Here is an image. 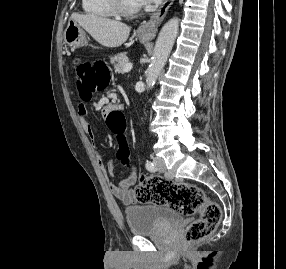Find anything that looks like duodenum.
<instances>
[{
    "mask_svg": "<svg viewBox=\"0 0 286 269\" xmlns=\"http://www.w3.org/2000/svg\"><path fill=\"white\" fill-rule=\"evenodd\" d=\"M107 108H110V110L113 108L112 106H108Z\"/></svg>",
    "mask_w": 286,
    "mask_h": 269,
    "instance_id": "1",
    "label": "duodenum"
}]
</instances>
